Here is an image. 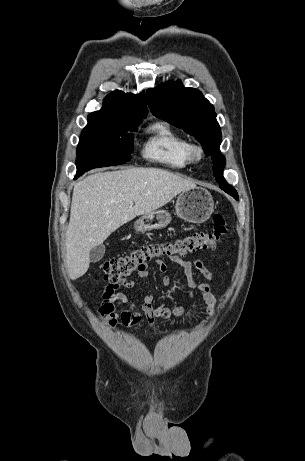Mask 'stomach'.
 <instances>
[{
    "label": "stomach",
    "mask_w": 305,
    "mask_h": 461,
    "mask_svg": "<svg viewBox=\"0 0 305 461\" xmlns=\"http://www.w3.org/2000/svg\"><path fill=\"white\" fill-rule=\"evenodd\" d=\"M176 214L190 223L207 221L214 210V201L210 192L204 188L195 187L181 192L177 198ZM172 218L166 210H155L141 216L134 223L137 232L165 228Z\"/></svg>",
    "instance_id": "1"
}]
</instances>
